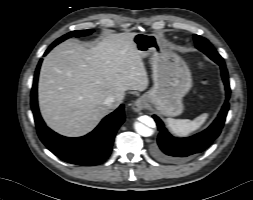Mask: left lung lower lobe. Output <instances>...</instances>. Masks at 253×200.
Here are the masks:
<instances>
[{"instance_id":"left-lung-lower-lobe-1","label":"left lung lower lobe","mask_w":253,"mask_h":200,"mask_svg":"<svg viewBox=\"0 0 253 200\" xmlns=\"http://www.w3.org/2000/svg\"><path fill=\"white\" fill-rule=\"evenodd\" d=\"M217 64L221 68L222 79L226 89V102L218 117L206 130L191 137L176 138L167 131L164 123L156 115H153L159 131L157 143L152 150L156 158L174 163L187 160L209 147L221 133L229 109L230 87L225 63L219 62Z\"/></svg>"}]
</instances>
